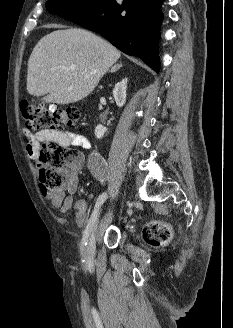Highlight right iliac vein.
<instances>
[{"label":"right iliac vein","instance_id":"1","mask_svg":"<svg viewBox=\"0 0 233 328\" xmlns=\"http://www.w3.org/2000/svg\"><path fill=\"white\" fill-rule=\"evenodd\" d=\"M100 212L97 214L95 223L93 225V228H92L89 240H88V244L86 246L85 261H86L87 265H91L94 262L95 249H96V237H97Z\"/></svg>","mask_w":233,"mask_h":328}]
</instances>
